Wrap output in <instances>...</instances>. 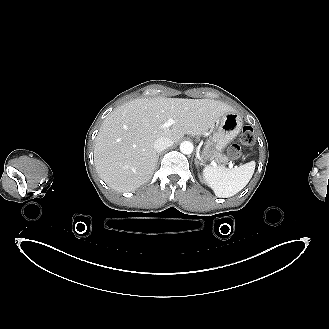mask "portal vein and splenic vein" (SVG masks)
Masks as SVG:
<instances>
[{"label":"portal vein and splenic vein","instance_id":"portal-vein-and-splenic-vein-1","mask_svg":"<svg viewBox=\"0 0 329 329\" xmlns=\"http://www.w3.org/2000/svg\"><path fill=\"white\" fill-rule=\"evenodd\" d=\"M175 121L172 118H169L166 122L160 125V128H169L171 125H173ZM229 168H233V164L229 163Z\"/></svg>","mask_w":329,"mask_h":329}]
</instances>
